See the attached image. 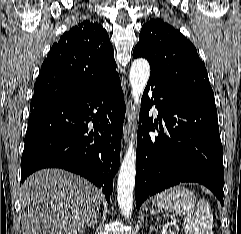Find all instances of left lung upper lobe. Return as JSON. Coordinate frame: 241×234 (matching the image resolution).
Segmentation results:
<instances>
[{
	"mask_svg": "<svg viewBox=\"0 0 241 234\" xmlns=\"http://www.w3.org/2000/svg\"><path fill=\"white\" fill-rule=\"evenodd\" d=\"M133 56L149 61L150 76L214 103L208 74L196 48L163 20L151 19L142 26Z\"/></svg>",
	"mask_w": 241,
	"mask_h": 234,
	"instance_id": "5c2ea615",
	"label": "left lung upper lobe"
}]
</instances>
